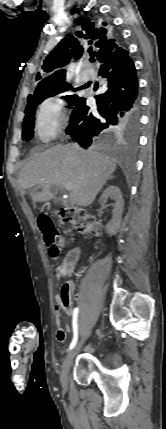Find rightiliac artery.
<instances>
[{
	"label": "right iliac artery",
	"mask_w": 166,
	"mask_h": 429,
	"mask_svg": "<svg viewBox=\"0 0 166 429\" xmlns=\"http://www.w3.org/2000/svg\"><path fill=\"white\" fill-rule=\"evenodd\" d=\"M78 311H79L78 308H75L73 310V339L69 346V350L75 347L78 340V324H77Z\"/></svg>",
	"instance_id": "obj_1"
}]
</instances>
